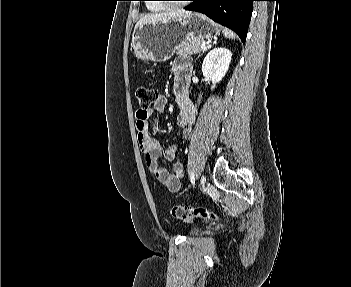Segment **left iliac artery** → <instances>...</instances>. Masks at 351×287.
Instances as JSON below:
<instances>
[{"label": "left iliac artery", "instance_id": "left-iliac-artery-1", "mask_svg": "<svg viewBox=\"0 0 351 287\" xmlns=\"http://www.w3.org/2000/svg\"><path fill=\"white\" fill-rule=\"evenodd\" d=\"M190 181H191L192 185L195 184V174H194V172H191V174H190Z\"/></svg>", "mask_w": 351, "mask_h": 287}]
</instances>
